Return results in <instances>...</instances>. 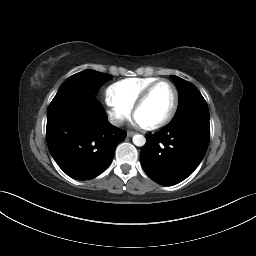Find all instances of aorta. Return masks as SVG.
I'll return each instance as SVG.
<instances>
[{"label":"aorta","mask_w":256,"mask_h":256,"mask_svg":"<svg viewBox=\"0 0 256 256\" xmlns=\"http://www.w3.org/2000/svg\"><path fill=\"white\" fill-rule=\"evenodd\" d=\"M133 143L136 145V146H144L145 143H146V138L143 136V135H140V134H136L133 136V139H132Z\"/></svg>","instance_id":"762f6f07"}]
</instances>
